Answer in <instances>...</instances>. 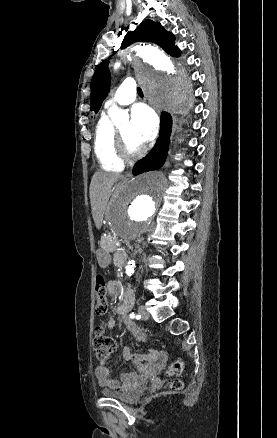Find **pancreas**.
<instances>
[{
	"label": "pancreas",
	"instance_id": "pancreas-1",
	"mask_svg": "<svg viewBox=\"0 0 277 438\" xmlns=\"http://www.w3.org/2000/svg\"><path fill=\"white\" fill-rule=\"evenodd\" d=\"M98 241L101 248H104L106 253H115L117 248H122L124 242L122 239H116L113 231H103L99 236Z\"/></svg>",
	"mask_w": 277,
	"mask_h": 438
}]
</instances>
